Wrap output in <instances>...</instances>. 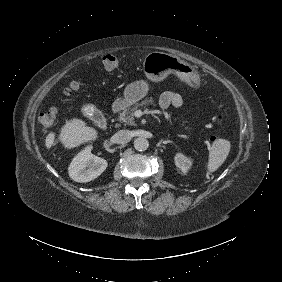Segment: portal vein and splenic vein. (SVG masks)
I'll return each mask as SVG.
<instances>
[{"mask_svg":"<svg viewBox=\"0 0 282 282\" xmlns=\"http://www.w3.org/2000/svg\"><path fill=\"white\" fill-rule=\"evenodd\" d=\"M134 117L137 120H142L145 117V114L142 111H136Z\"/></svg>","mask_w":282,"mask_h":282,"instance_id":"1","label":"portal vein and splenic vein"}]
</instances>
